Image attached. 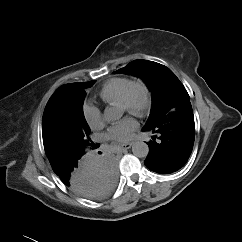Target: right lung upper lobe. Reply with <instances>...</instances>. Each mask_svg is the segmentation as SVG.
<instances>
[{
	"label": "right lung upper lobe",
	"mask_w": 242,
	"mask_h": 242,
	"mask_svg": "<svg viewBox=\"0 0 242 242\" xmlns=\"http://www.w3.org/2000/svg\"><path fill=\"white\" fill-rule=\"evenodd\" d=\"M83 83H71L65 84L58 88L56 92L51 96L47 105H50L53 102L66 99L74 94H76L80 88L82 87Z\"/></svg>",
	"instance_id": "1"
}]
</instances>
